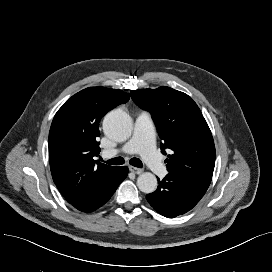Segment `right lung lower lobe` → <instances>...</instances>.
<instances>
[{
    "label": "right lung lower lobe",
    "instance_id": "obj_1",
    "mask_svg": "<svg viewBox=\"0 0 272 272\" xmlns=\"http://www.w3.org/2000/svg\"><path fill=\"white\" fill-rule=\"evenodd\" d=\"M127 174L128 168L126 166L119 167L118 172L113 176V178L99 190L83 200L70 204H72L76 209L85 213L98 209L111 198L119 184L126 178Z\"/></svg>",
    "mask_w": 272,
    "mask_h": 272
}]
</instances>
